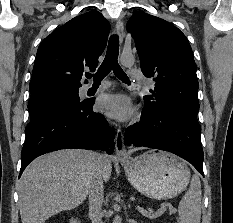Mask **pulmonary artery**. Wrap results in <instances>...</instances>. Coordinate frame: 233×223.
I'll return each mask as SVG.
<instances>
[{
	"label": "pulmonary artery",
	"instance_id": "obj_1",
	"mask_svg": "<svg viewBox=\"0 0 233 223\" xmlns=\"http://www.w3.org/2000/svg\"><path fill=\"white\" fill-rule=\"evenodd\" d=\"M129 78L130 79H141L144 78L143 70H129ZM107 85H101L98 90L107 89Z\"/></svg>",
	"mask_w": 233,
	"mask_h": 223
}]
</instances>
